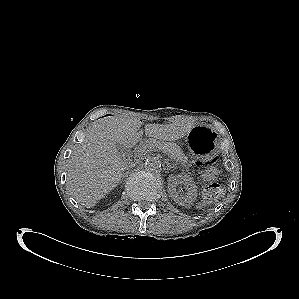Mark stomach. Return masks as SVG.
I'll use <instances>...</instances> for the list:
<instances>
[{
  "instance_id": "stomach-1",
  "label": "stomach",
  "mask_w": 299,
  "mask_h": 299,
  "mask_svg": "<svg viewBox=\"0 0 299 299\" xmlns=\"http://www.w3.org/2000/svg\"><path fill=\"white\" fill-rule=\"evenodd\" d=\"M187 150L200 161H211L220 152V141L214 130L208 125H197L187 134Z\"/></svg>"
}]
</instances>
